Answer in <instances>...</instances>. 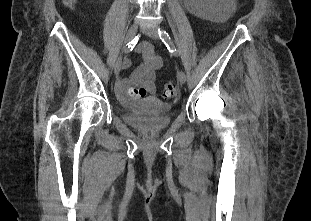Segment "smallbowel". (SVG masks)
<instances>
[{
	"instance_id": "c3829d8e",
	"label": "small bowel",
	"mask_w": 311,
	"mask_h": 221,
	"mask_svg": "<svg viewBox=\"0 0 311 221\" xmlns=\"http://www.w3.org/2000/svg\"><path fill=\"white\" fill-rule=\"evenodd\" d=\"M137 51L141 55V63L128 78L120 81L119 87L122 92H126L130 86H135L152 93L155 91V70L162 64L161 57L148 42L140 44Z\"/></svg>"
}]
</instances>
